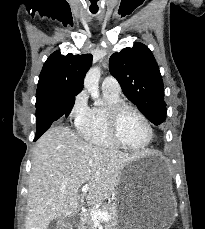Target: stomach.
<instances>
[{
  "label": "stomach",
  "instance_id": "stomach-1",
  "mask_svg": "<svg viewBox=\"0 0 205 229\" xmlns=\"http://www.w3.org/2000/svg\"><path fill=\"white\" fill-rule=\"evenodd\" d=\"M139 166L131 163L120 175L115 229H169L175 219V208L160 198L137 193Z\"/></svg>",
  "mask_w": 205,
  "mask_h": 229
}]
</instances>
